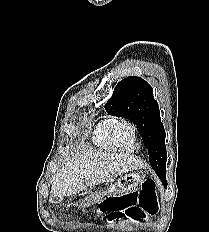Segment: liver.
Here are the masks:
<instances>
[{"instance_id":"6515ba94","label":"liver","mask_w":209,"mask_h":232,"mask_svg":"<svg viewBox=\"0 0 209 232\" xmlns=\"http://www.w3.org/2000/svg\"><path fill=\"white\" fill-rule=\"evenodd\" d=\"M142 168H145V165L130 154L84 151L76 154L56 174L51 186V195H74L83 191L86 186L111 182L121 174Z\"/></svg>"}]
</instances>
